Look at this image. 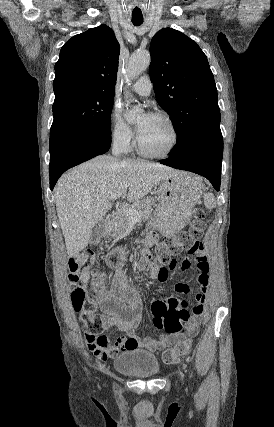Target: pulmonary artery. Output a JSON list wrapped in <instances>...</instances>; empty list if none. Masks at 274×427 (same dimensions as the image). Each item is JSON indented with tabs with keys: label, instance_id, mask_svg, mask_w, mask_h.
<instances>
[{
	"label": "pulmonary artery",
	"instance_id": "1",
	"mask_svg": "<svg viewBox=\"0 0 274 427\" xmlns=\"http://www.w3.org/2000/svg\"><path fill=\"white\" fill-rule=\"evenodd\" d=\"M132 90L140 96H149L152 91L151 80L147 75H144L134 83Z\"/></svg>",
	"mask_w": 274,
	"mask_h": 427
}]
</instances>
